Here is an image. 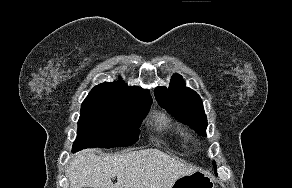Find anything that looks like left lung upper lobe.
Segmentation results:
<instances>
[{
  "instance_id": "obj_1",
  "label": "left lung upper lobe",
  "mask_w": 292,
  "mask_h": 188,
  "mask_svg": "<svg viewBox=\"0 0 292 188\" xmlns=\"http://www.w3.org/2000/svg\"><path fill=\"white\" fill-rule=\"evenodd\" d=\"M155 96L159 104L168 112L182 119L199 135L206 136L207 118L202 100L195 91L185 87V82L180 75H173L169 88L157 87ZM213 165L216 170L214 161Z\"/></svg>"
}]
</instances>
